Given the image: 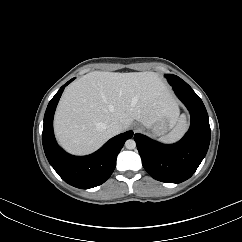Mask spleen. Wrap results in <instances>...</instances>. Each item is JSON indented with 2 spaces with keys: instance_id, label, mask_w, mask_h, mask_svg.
Segmentation results:
<instances>
[{
  "instance_id": "spleen-1",
  "label": "spleen",
  "mask_w": 242,
  "mask_h": 242,
  "mask_svg": "<svg viewBox=\"0 0 242 242\" xmlns=\"http://www.w3.org/2000/svg\"><path fill=\"white\" fill-rule=\"evenodd\" d=\"M187 127L188 125L185 119L178 120L176 126L172 129V131L169 132L166 136L162 137L161 141L165 143H172L177 141L185 133Z\"/></svg>"
}]
</instances>
